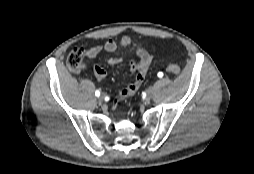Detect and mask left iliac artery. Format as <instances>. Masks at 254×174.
Instances as JSON below:
<instances>
[{"label":"left iliac artery","mask_w":254,"mask_h":174,"mask_svg":"<svg viewBox=\"0 0 254 174\" xmlns=\"http://www.w3.org/2000/svg\"><path fill=\"white\" fill-rule=\"evenodd\" d=\"M157 75H158L159 78L163 77V73L162 72H159Z\"/></svg>","instance_id":"44dca946"}]
</instances>
